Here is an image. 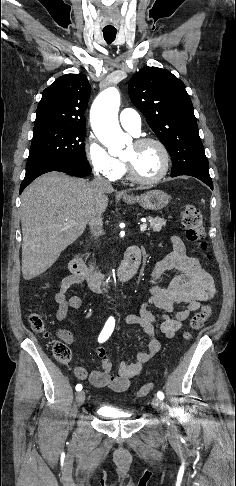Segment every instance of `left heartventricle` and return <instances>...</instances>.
<instances>
[{
  "label": "left heart ventricle",
  "instance_id": "left-heart-ventricle-1",
  "mask_svg": "<svg viewBox=\"0 0 236 486\" xmlns=\"http://www.w3.org/2000/svg\"><path fill=\"white\" fill-rule=\"evenodd\" d=\"M123 159L129 162L134 172L141 178H152L162 169L163 157L154 144L136 146L134 143L126 150Z\"/></svg>",
  "mask_w": 236,
  "mask_h": 486
}]
</instances>
